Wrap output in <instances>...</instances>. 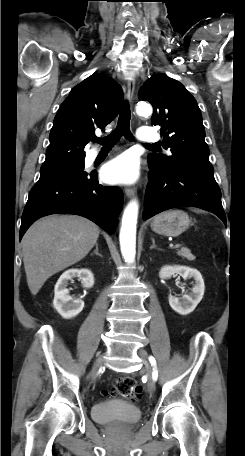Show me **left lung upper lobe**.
Wrapping results in <instances>:
<instances>
[{
    "instance_id": "left-lung-upper-lobe-1",
    "label": "left lung upper lobe",
    "mask_w": 245,
    "mask_h": 456,
    "mask_svg": "<svg viewBox=\"0 0 245 456\" xmlns=\"http://www.w3.org/2000/svg\"><path fill=\"white\" fill-rule=\"evenodd\" d=\"M139 98L152 104L151 121L161 126L162 145L172 153H151L149 162L160 168L177 166L213 172L201 111L183 84L165 75H154L140 89Z\"/></svg>"
}]
</instances>
